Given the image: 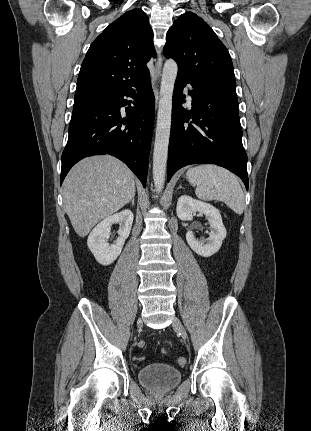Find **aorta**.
Listing matches in <instances>:
<instances>
[{"mask_svg":"<svg viewBox=\"0 0 311 431\" xmlns=\"http://www.w3.org/2000/svg\"><path fill=\"white\" fill-rule=\"evenodd\" d=\"M178 66L174 60H166L160 86V102L157 114L153 150V182L156 192H162L166 178L169 138L172 122V96Z\"/></svg>","mask_w":311,"mask_h":431,"instance_id":"obj_1","label":"aorta"}]
</instances>
